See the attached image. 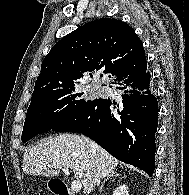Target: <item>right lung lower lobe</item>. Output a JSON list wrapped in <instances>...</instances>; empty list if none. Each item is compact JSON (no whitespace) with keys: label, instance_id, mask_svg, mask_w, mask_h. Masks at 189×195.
I'll list each match as a JSON object with an SVG mask.
<instances>
[{"label":"right lung lower lobe","instance_id":"obj_1","mask_svg":"<svg viewBox=\"0 0 189 195\" xmlns=\"http://www.w3.org/2000/svg\"><path fill=\"white\" fill-rule=\"evenodd\" d=\"M114 80V88L121 93L118 102L95 99L52 130L82 133L118 160L151 176L158 119L151 75L146 65L141 71H122Z\"/></svg>","mask_w":189,"mask_h":195}]
</instances>
